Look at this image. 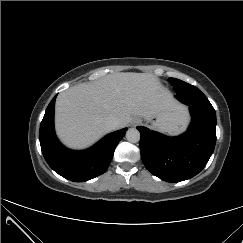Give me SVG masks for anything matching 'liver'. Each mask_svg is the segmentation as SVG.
I'll return each instance as SVG.
<instances>
[{"label":"liver","instance_id":"1","mask_svg":"<svg viewBox=\"0 0 243 243\" xmlns=\"http://www.w3.org/2000/svg\"><path fill=\"white\" fill-rule=\"evenodd\" d=\"M166 109L185 111L155 75L115 73L60 93L56 99V130L66 145L84 148L111 131L106 126L109 118H118V128H123L134 117L151 121Z\"/></svg>","mask_w":243,"mask_h":243}]
</instances>
